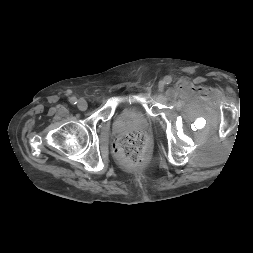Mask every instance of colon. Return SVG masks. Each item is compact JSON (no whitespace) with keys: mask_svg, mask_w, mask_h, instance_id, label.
<instances>
[{"mask_svg":"<svg viewBox=\"0 0 253 253\" xmlns=\"http://www.w3.org/2000/svg\"><path fill=\"white\" fill-rule=\"evenodd\" d=\"M114 153L123 163L139 165L143 162L147 150V138L140 131H130L121 135L114 146Z\"/></svg>","mask_w":253,"mask_h":253,"instance_id":"5ec220e1","label":"colon"}]
</instances>
